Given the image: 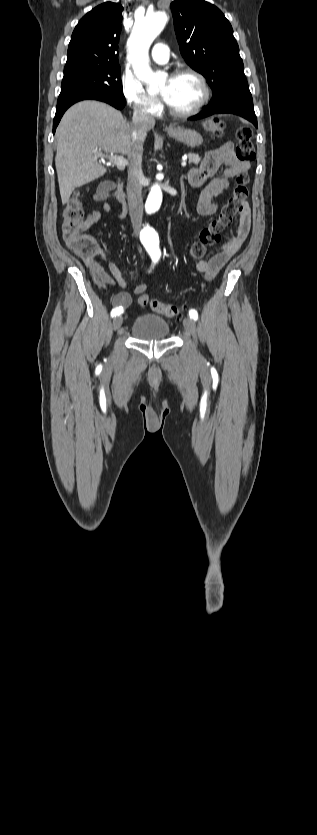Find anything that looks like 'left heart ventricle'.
<instances>
[{"label": "left heart ventricle", "mask_w": 317, "mask_h": 835, "mask_svg": "<svg viewBox=\"0 0 317 835\" xmlns=\"http://www.w3.org/2000/svg\"><path fill=\"white\" fill-rule=\"evenodd\" d=\"M160 92L166 102L175 110L191 109L198 101L201 90L198 82L191 76H180L165 80Z\"/></svg>", "instance_id": "left-heart-ventricle-1"}]
</instances>
